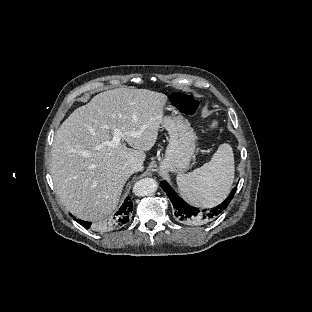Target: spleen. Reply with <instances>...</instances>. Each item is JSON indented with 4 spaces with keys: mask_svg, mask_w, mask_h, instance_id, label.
Here are the masks:
<instances>
[{
    "mask_svg": "<svg viewBox=\"0 0 312 312\" xmlns=\"http://www.w3.org/2000/svg\"><path fill=\"white\" fill-rule=\"evenodd\" d=\"M234 175V158L229 144H222L211 161L190 173L177 175L181 195L199 207L222 202L229 193Z\"/></svg>",
    "mask_w": 312,
    "mask_h": 312,
    "instance_id": "1",
    "label": "spleen"
}]
</instances>
